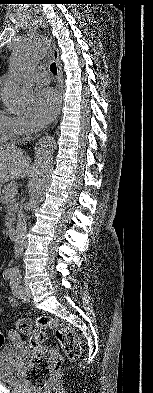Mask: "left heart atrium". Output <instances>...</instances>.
Segmentation results:
<instances>
[{"label":"left heart atrium","mask_w":153,"mask_h":393,"mask_svg":"<svg viewBox=\"0 0 153 393\" xmlns=\"http://www.w3.org/2000/svg\"><path fill=\"white\" fill-rule=\"evenodd\" d=\"M60 106V96L52 88L42 89L35 97L33 117L43 126L49 123L57 114Z\"/></svg>","instance_id":"39dd6f15"}]
</instances>
